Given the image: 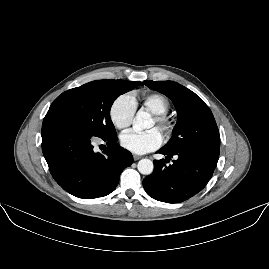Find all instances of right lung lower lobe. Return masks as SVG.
<instances>
[{
	"label": "right lung lower lobe",
	"instance_id": "obj_1",
	"mask_svg": "<svg viewBox=\"0 0 269 269\" xmlns=\"http://www.w3.org/2000/svg\"><path fill=\"white\" fill-rule=\"evenodd\" d=\"M42 151L55 181L70 194L92 199L110 194L121 172L133 162L117 136L101 138L103 154L94 152L93 136L71 121L46 115L42 124ZM100 138V137H99Z\"/></svg>",
	"mask_w": 269,
	"mask_h": 269
}]
</instances>
